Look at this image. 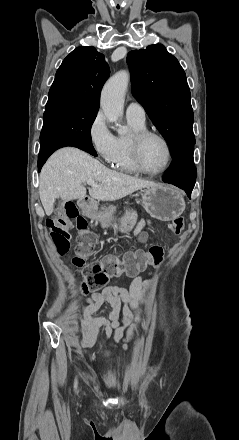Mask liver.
Instances as JSON below:
<instances>
[{
    "label": "liver",
    "mask_w": 239,
    "mask_h": 440,
    "mask_svg": "<svg viewBox=\"0 0 239 440\" xmlns=\"http://www.w3.org/2000/svg\"><path fill=\"white\" fill-rule=\"evenodd\" d=\"M87 180H95L98 188H89V196L102 202H115L143 188H159L160 184L139 180L109 170L89 154L77 148H62L50 156L39 180V196L47 216H51L56 198L83 200Z\"/></svg>",
    "instance_id": "liver-1"
}]
</instances>
